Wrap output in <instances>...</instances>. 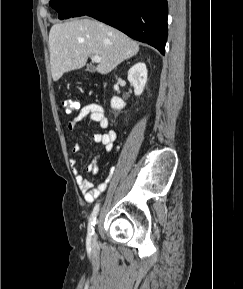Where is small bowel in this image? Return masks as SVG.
Here are the masks:
<instances>
[{
	"instance_id": "1",
	"label": "small bowel",
	"mask_w": 243,
	"mask_h": 289,
	"mask_svg": "<svg viewBox=\"0 0 243 289\" xmlns=\"http://www.w3.org/2000/svg\"><path fill=\"white\" fill-rule=\"evenodd\" d=\"M90 118L98 123L101 129H107L109 126L108 118L106 117L103 107L97 103H90L80 108L78 114L69 121L68 129L75 131L78 129L81 122ZM117 138V133L114 130H108L104 133H95L93 135V141L101 144L105 151L109 152L113 149L114 142ZM81 146L76 143L73 145L72 151L74 153L79 152ZM98 158H95L90 164L86 166L88 173L97 174L98 172ZM73 174L75 176L76 183L80 192L83 195L86 203H92L96 200L107 188L108 182L112 179L114 170H111L110 174L105 181L98 183L96 186L87 178H85L77 168L76 160H70Z\"/></svg>"
}]
</instances>
